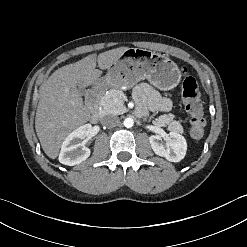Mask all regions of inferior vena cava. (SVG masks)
Masks as SVG:
<instances>
[{
    "label": "inferior vena cava",
    "instance_id": "1",
    "mask_svg": "<svg viewBox=\"0 0 247 247\" xmlns=\"http://www.w3.org/2000/svg\"><path fill=\"white\" fill-rule=\"evenodd\" d=\"M118 123L119 117L115 115H107L101 119V124L109 128L115 127Z\"/></svg>",
    "mask_w": 247,
    "mask_h": 247
}]
</instances>
